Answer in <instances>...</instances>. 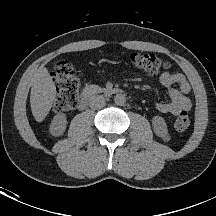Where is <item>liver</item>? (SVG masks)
Segmentation results:
<instances>
[{
    "mask_svg": "<svg viewBox=\"0 0 216 216\" xmlns=\"http://www.w3.org/2000/svg\"><path fill=\"white\" fill-rule=\"evenodd\" d=\"M30 105L33 117L42 122L56 100L55 84L45 67H39L32 78Z\"/></svg>",
    "mask_w": 216,
    "mask_h": 216,
    "instance_id": "1",
    "label": "liver"
}]
</instances>
